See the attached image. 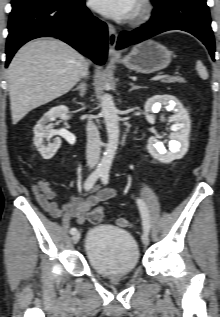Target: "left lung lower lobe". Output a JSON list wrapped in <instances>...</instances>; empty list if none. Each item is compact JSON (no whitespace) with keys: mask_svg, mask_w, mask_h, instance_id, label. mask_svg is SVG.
<instances>
[{"mask_svg":"<svg viewBox=\"0 0 220 317\" xmlns=\"http://www.w3.org/2000/svg\"><path fill=\"white\" fill-rule=\"evenodd\" d=\"M155 9L144 26L121 32L117 48L138 43L168 30H183L201 40L214 59L215 44L211 29V19L206 0H153Z\"/></svg>","mask_w":220,"mask_h":317,"instance_id":"obj_1","label":"left lung lower lobe"}]
</instances>
